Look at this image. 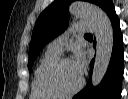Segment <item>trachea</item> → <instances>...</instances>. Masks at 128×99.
Here are the masks:
<instances>
[{"instance_id":"3493384b","label":"trachea","mask_w":128,"mask_h":99,"mask_svg":"<svg viewBox=\"0 0 128 99\" xmlns=\"http://www.w3.org/2000/svg\"><path fill=\"white\" fill-rule=\"evenodd\" d=\"M85 35H91V34L87 33V34H85Z\"/></svg>"}]
</instances>
